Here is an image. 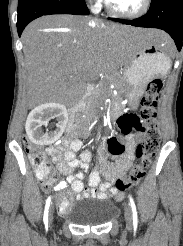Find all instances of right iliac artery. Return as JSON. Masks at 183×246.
Masks as SVG:
<instances>
[{
	"instance_id": "82829eb1",
	"label": "right iliac artery",
	"mask_w": 183,
	"mask_h": 246,
	"mask_svg": "<svg viewBox=\"0 0 183 246\" xmlns=\"http://www.w3.org/2000/svg\"><path fill=\"white\" fill-rule=\"evenodd\" d=\"M50 203H51V196H49L47 198L45 209H44L43 222H44V224H45L46 227L48 226V213H49Z\"/></svg>"
}]
</instances>
